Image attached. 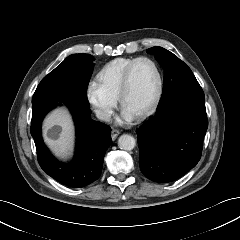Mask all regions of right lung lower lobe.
I'll list each match as a JSON object with an SVG mask.
<instances>
[{"mask_svg": "<svg viewBox=\"0 0 240 240\" xmlns=\"http://www.w3.org/2000/svg\"><path fill=\"white\" fill-rule=\"evenodd\" d=\"M64 103L71 111L76 126V155L66 164L54 158L45 146L41 135V123L45 114ZM89 106L56 100L33 104L31 135L34 139L38 162L43 171L59 183L72 187H85L101 174L106 150L111 144L110 128L90 118Z\"/></svg>", "mask_w": 240, "mask_h": 240, "instance_id": "obj_1", "label": "right lung lower lobe"}]
</instances>
